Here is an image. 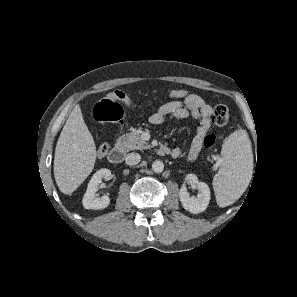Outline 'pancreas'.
Segmentation results:
<instances>
[{
    "label": "pancreas",
    "mask_w": 297,
    "mask_h": 297,
    "mask_svg": "<svg viewBox=\"0 0 297 297\" xmlns=\"http://www.w3.org/2000/svg\"><path fill=\"white\" fill-rule=\"evenodd\" d=\"M117 144L125 151L150 149L151 146L140 137L139 131L123 134L118 138Z\"/></svg>",
    "instance_id": "1"
}]
</instances>
